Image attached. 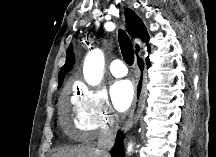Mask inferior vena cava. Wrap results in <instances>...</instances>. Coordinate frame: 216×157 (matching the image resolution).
Wrapping results in <instances>:
<instances>
[{"instance_id":"obj_1","label":"inferior vena cava","mask_w":216,"mask_h":157,"mask_svg":"<svg viewBox=\"0 0 216 157\" xmlns=\"http://www.w3.org/2000/svg\"><path fill=\"white\" fill-rule=\"evenodd\" d=\"M115 140V133L110 130H104L100 133L97 152L101 154L102 157H109L108 151L113 147Z\"/></svg>"}]
</instances>
